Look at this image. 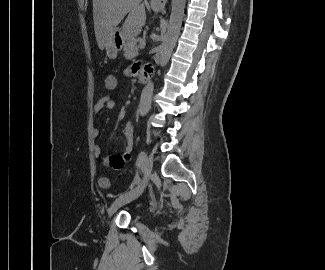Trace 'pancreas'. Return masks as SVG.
I'll return each instance as SVG.
<instances>
[{
    "label": "pancreas",
    "instance_id": "pancreas-1",
    "mask_svg": "<svg viewBox=\"0 0 325 270\" xmlns=\"http://www.w3.org/2000/svg\"><path fill=\"white\" fill-rule=\"evenodd\" d=\"M138 55L137 40L129 39L124 45V57L126 59H133Z\"/></svg>",
    "mask_w": 325,
    "mask_h": 270
}]
</instances>
